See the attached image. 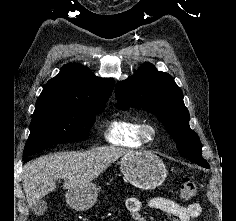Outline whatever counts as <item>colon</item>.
<instances>
[{
    "mask_svg": "<svg viewBox=\"0 0 236 221\" xmlns=\"http://www.w3.org/2000/svg\"><path fill=\"white\" fill-rule=\"evenodd\" d=\"M180 195L183 199H192L198 195L197 184L190 177H183L179 182Z\"/></svg>",
    "mask_w": 236,
    "mask_h": 221,
    "instance_id": "5ec220e1",
    "label": "colon"
}]
</instances>
